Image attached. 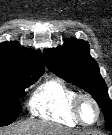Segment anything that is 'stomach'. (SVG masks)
Instances as JSON below:
<instances>
[{"instance_id": "stomach-1", "label": "stomach", "mask_w": 112, "mask_h": 135, "mask_svg": "<svg viewBox=\"0 0 112 135\" xmlns=\"http://www.w3.org/2000/svg\"><path fill=\"white\" fill-rule=\"evenodd\" d=\"M76 135H95V134H93V133L77 132Z\"/></svg>"}]
</instances>
